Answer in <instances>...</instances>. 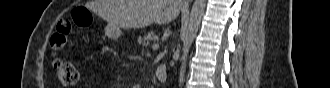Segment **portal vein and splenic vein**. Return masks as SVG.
<instances>
[{
	"label": "portal vein and splenic vein",
	"mask_w": 330,
	"mask_h": 88,
	"mask_svg": "<svg viewBox=\"0 0 330 88\" xmlns=\"http://www.w3.org/2000/svg\"><path fill=\"white\" fill-rule=\"evenodd\" d=\"M152 48L153 49H158L159 48V45L158 44H153Z\"/></svg>",
	"instance_id": "1"
}]
</instances>
